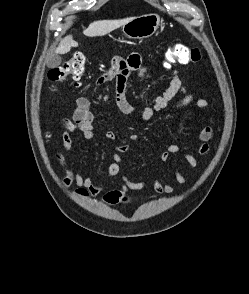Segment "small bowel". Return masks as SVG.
Wrapping results in <instances>:
<instances>
[{"label": "small bowel", "mask_w": 249, "mask_h": 294, "mask_svg": "<svg viewBox=\"0 0 249 294\" xmlns=\"http://www.w3.org/2000/svg\"><path fill=\"white\" fill-rule=\"evenodd\" d=\"M127 70L118 75L115 74H103L96 82L95 86H102L116 77V89H115V104L118 109L126 115L133 113V107L126 97V89L128 84L129 75L131 72H135L137 79L142 81L147 73V66L141 61V57L138 53H133L126 59ZM179 93L183 94V97L174 104H170V101ZM195 103L196 107L200 110L209 108V102L205 99H196L195 93L188 90L180 78L179 71L174 70L172 78L166 90L162 95L158 96L152 105L145 107L140 114V117L144 121L151 120L156 114L164 113L170 114L180 111L189 105ZM77 110L73 119L65 121V130L61 135V143L64 151H59L56 154L57 160L66 169V176L63 180L64 187H69L75 184L76 190L74 194L78 197L87 199L94 197L100 193L103 189V183L94 180L90 176L75 173L67 163L65 152L74 151V143L72 133L79 131L81 136L85 140H91L94 137V115L90 111L91 100L86 95H81L76 99ZM106 137L109 140H115L117 135L114 131L109 130L106 132ZM136 134H130L129 139H137ZM197 138L200 144L197 147V152L203 157L207 158L210 153L208 142L213 138V128L206 126L199 130ZM129 146L125 144H118L114 146V152L111 154V163L107 167V176L116 177L120 173V163L122 152L129 151ZM179 155L190 168L195 169L198 166L197 159L189 153H181L180 147L177 144H169L166 149L160 153V160L162 162H168L173 156ZM173 182L182 186L186 183V177L183 173L174 165L172 167ZM121 188L111 190L104 194L102 203L104 205H112L119 201L123 194L127 191H140L147 187L149 181L147 179L133 180L130 177L123 175L120 177ZM172 181L163 182L160 179H154L152 181L153 198L161 195L172 194L174 192V185Z\"/></svg>", "instance_id": "obj_1"}]
</instances>
